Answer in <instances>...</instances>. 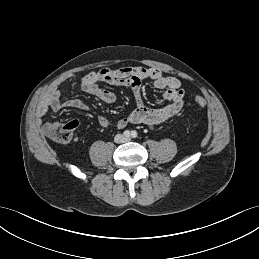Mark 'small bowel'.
I'll use <instances>...</instances> for the list:
<instances>
[{"instance_id":"1","label":"small bowel","mask_w":259,"mask_h":259,"mask_svg":"<svg viewBox=\"0 0 259 259\" xmlns=\"http://www.w3.org/2000/svg\"><path fill=\"white\" fill-rule=\"evenodd\" d=\"M74 78L67 76L62 81ZM81 89L98 97L101 101L111 104L116 100V94L101 86L102 83L114 86H126L132 90L134 107L123 118L119 119L114 126L123 129L129 124H145L150 128L171 119L177 115L184 104V90L180 81L173 76L164 75L155 67L124 66L118 69L103 68L78 77ZM145 79L152 81L153 87L163 91V97L169 103L161 108H149L144 105L142 98L141 82ZM63 108H74L86 113H94L92 108L79 99H61V91L53 87L47 98L40 105L37 112V124L42 125V118L49 110L58 111ZM98 124L108 128L113 123L105 116L97 118Z\"/></svg>"}]
</instances>
